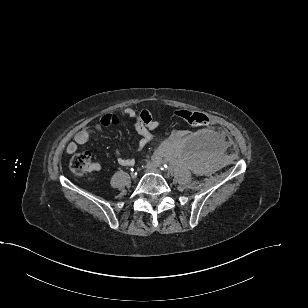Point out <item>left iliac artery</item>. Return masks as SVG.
<instances>
[{"label":"left iliac artery","mask_w":308,"mask_h":308,"mask_svg":"<svg viewBox=\"0 0 308 308\" xmlns=\"http://www.w3.org/2000/svg\"><path fill=\"white\" fill-rule=\"evenodd\" d=\"M160 169L166 171L168 169V165L164 164L160 166Z\"/></svg>","instance_id":"left-iliac-artery-1"}]
</instances>
